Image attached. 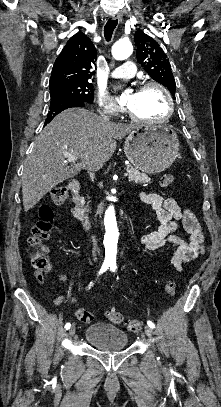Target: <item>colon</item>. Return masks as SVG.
Wrapping results in <instances>:
<instances>
[{
  "instance_id": "colon-1",
  "label": "colon",
  "mask_w": 221,
  "mask_h": 407,
  "mask_svg": "<svg viewBox=\"0 0 221 407\" xmlns=\"http://www.w3.org/2000/svg\"><path fill=\"white\" fill-rule=\"evenodd\" d=\"M174 177L171 174H165L161 180L160 185L164 188L173 184ZM51 202L60 206L64 204L67 198V187L56 186L49 190ZM53 211L50 206L42 205L39 208V221L32 228V236L30 238V246L32 247V264L33 267L39 272L50 270L49 265V251L43 242L48 239L52 231ZM180 260H184L181 258ZM176 285L172 279H169L165 284V293L172 297L175 295ZM76 318L83 322L89 323L93 320V314L84 309L78 308L75 312ZM107 320L111 323H121L124 318L120 312L111 309L105 312ZM126 327L129 331L139 333L143 328V321L138 319H129L125 321Z\"/></svg>"
}]
</instances>
